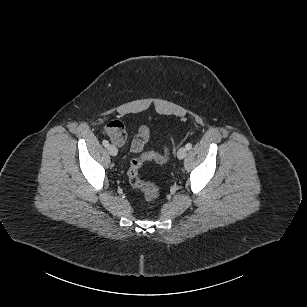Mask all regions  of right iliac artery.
Segmentation results:
<instances>
[{
    "label": "right iliac artery",
    "mask_w": 307,
    "mask_h": 307,
    "mask_svg": "<svg viewBox=\"0 0 307 307\" xmlns=\"http://www.w3.org/2000/svg\"><path fill=\"white\" fill-rule=\"evenodd\" d=\"M103 146L108 147L109 146V142L107 140H103L102 141Z\"/></svg>",
    "instance_id": "1"
}]
</instances>
